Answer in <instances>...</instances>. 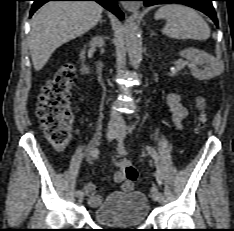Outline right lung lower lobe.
<instances>
[{
	"label": "right lung lower lobe",
	"instance_id": "right-lung-lower-lobe-1",
	"mask_svg": "<svg viewBox=\"0 0 234 231\" xmlns=\"http://www.w3.org/2000/svg\"><path fill=\"white\" fill-rule=\"evenodd\" d=\"M34 3L31 8L30 16L33 15V13L41 7L43 4H45L48 1H96L99 4H101L104 8L108 9L112 13H114L117 17L120 19H123V13L120 11V9L117 6V1L120 0H33Z\"/></svg>",
	"mask_w": 234,
	"mask_h": 231
}]
</instances>
